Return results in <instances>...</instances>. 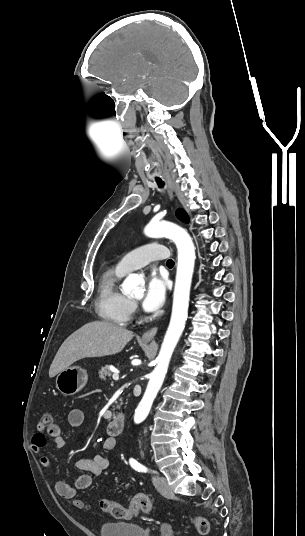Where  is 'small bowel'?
I'll list each match as a JSON object with an SVG mask.
<instances>
[{"label":"small bowel","mask_w":305,"mask_h":536,"mask_svg":"<svg viewBox=\"0 0 305 536\" xmlns=\"http://www.w3.org/2000/svg\"><path fill=\"white\" fill-rule=\"evenodd\" d=\"M85 414L82 409L74 408L68 414V423L73 428H78L83 425ZM51 440L54 448L61 449L64 444V437L60 426L56 427H36L34 434L31 437V448L34 452L41 451ZM101 448L105 452H110L115 449L116 441L110 437H104L100 440ZM40 464L44 469L52 467V461L49 457L43 456L40 459ZM109 467V460L102 454H97L91 458H79L74 461V468L80 471L88 472L94 476H99ZM92 484V476L84 474L79 476L74 485L71 486L64 481H58L55 484L56 493L68 499L69 495H75L80 491L89 488Z\"/></svg>","instance_id":"1"}]
</instances>
